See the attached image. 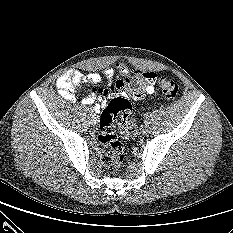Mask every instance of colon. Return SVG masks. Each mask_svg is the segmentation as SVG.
I'll return each mask as SVG.
<instances>
[{"label":"colon","instance_id":"1","mask_svg":"<svg viewBox=\"0 0 233 233\" xmlns=\"http://www.w3.org/2000/svg\"><path fill=\"white\" fill-rule=\"evenodd\" d=\"M145 77L142 74H131L128 80V89L133 97L138 100L142 96V87ZM158 85L162 93L168 100H175L179 94V85L167 76L158 79ZM132 106L128 97L122 95L113 98L100 116V131L98 140L102 145L103 152L109 159V166L116 172L125 159L123 144L117 139L115 132L116 122L121 135L124 138L133 136L137 127L131 118Z\"/></svg>","mask_w":233,"mask_h":233}]
</instances>
